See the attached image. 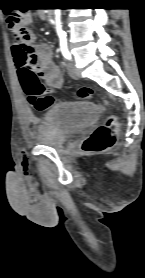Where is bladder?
I'll return each mask as SVG.
<instances>
[{"mask_svg":"<svg viewBox=\"0 0 145 278\" xmlns=\"http://www.w3.org/2000/svg\"><path fill=\"white\" fill-rule=\"evenodd\" d=\"M100 110L92 102H65L49 106L36 130L35 143L61 149L68 140L91 128L98 120Z\"/></svg>","mask_w":145,"mask_h":278,"instance_id":"obj_1","label":"bladder"}]
</instances>
